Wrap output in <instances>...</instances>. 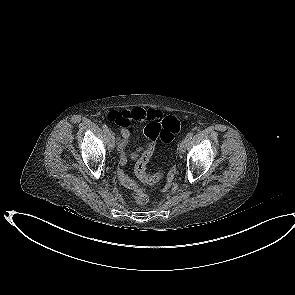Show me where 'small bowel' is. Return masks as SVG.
<instances>
[{"mask_svg": "<svg viewBox=\"0 0 295 295\" xmlns=\"http://www.w3.org/2000/svg\"><path fill=\"white\" fill-rule=\"evenodd\" d=\"M109 118L117 123L120 127V132L122 139L118 144V151L120 156L121 164L126 162L127 157L136 160L144 151V147H139L133 151H127V144L132 133L131 122L133 121H148L155 122L160 121L163 116L160 111L154 109L145 110L143 108H133L126 111H113L109 114ZM147 143H149V138H147ZM117 179L122 181L125 186L134 187L135 189H140L142 187V182L140 180H134L126 176L124 172H119L117 174Z\"/></svg>", "mask_w": 295, "mask_h": 295, "instance_id": "small-bowel-1", "label": "small bowel"}]
</instances>
